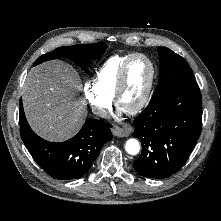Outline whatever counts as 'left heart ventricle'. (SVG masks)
<instances>
[{
    "instance_id": "left-heart-ventricle-1",
    "label": "left heart ventricle",
    "mask_w": 221,
    "mask_h": 221,
    "mask_svg": "<svg viewBox=\"0 0 221 221\" xmlns=\"http://www.w3.org/2000/svg\"><path fill=\"white\" fill-rule=\"evenodd\" d=\"M151 68L143 58H136L131 63L127 83L119 101V107L128 111L136 106L143 97L148 86Z\"/></svg>"
}]
</instances>
